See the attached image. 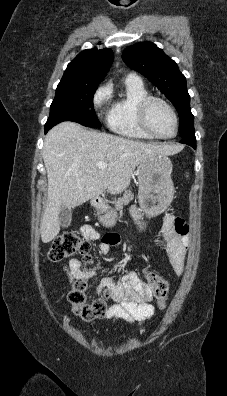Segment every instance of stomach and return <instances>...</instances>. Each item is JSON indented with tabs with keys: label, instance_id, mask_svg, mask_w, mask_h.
Wrapping results in <instances>:
<instances>
[{
	"label": "stomach",
	"instance_id": "obj_1",
	"mask_svg": "<svg viewBox=\"0 0 227 396\" xmlns=\"http://www.w3.org/2000/svg\"><path fill=\"white\" fill-rule=\"evenodd\" d=\"M172 162L166 155L151 156L137 166L139 190L138 201L142 211L148 216L161 214L170 205L174 196V184L171 179ZM100 222L111 227L117 214L103 202H94ZM142 228V227H141Z\"/></svg>",
	"mask_w": 227,
	"mask_h": 396
}]
</instances>
